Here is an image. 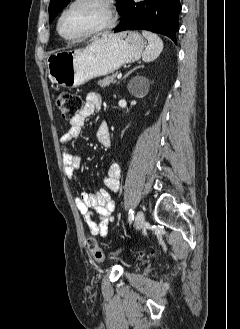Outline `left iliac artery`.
Listing matches in <instances>:
<instances>
[{"label":"left iliac artery","instance_id":"44dca946","mask_svg":"<svg viewBox=\"0 0 240 329\" xmlns=\"http://www.w3.org/2000/svg\"><path fill=\"white\" fill-rule=\"evenodd\" d=\"M134 220V212L133 210H129V216H128V221L129 223H132V221Z\"/></svg>","mask_w":240,"mask_h":329}]
</instances>
